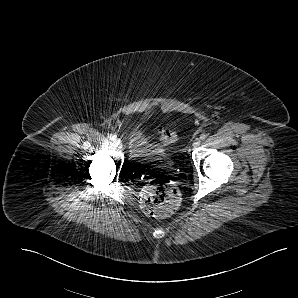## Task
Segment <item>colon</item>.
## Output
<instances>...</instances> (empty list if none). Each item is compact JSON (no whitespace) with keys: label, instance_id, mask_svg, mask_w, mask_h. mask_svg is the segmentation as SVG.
I'll list each match as a JSON object with an SVG mask.
<instances>
[{"label":"colon","instance_id":"1","mask_svg":"<svg viewBox=\"0 0 298 298\" xmlns=\"http://www.w3.org/2000/svg\"><path fill=\"white\" fill-rule=\"evenodd\" d=\"M164 141L172 143L177 139L176 132L164 129L161 132ZM180 193L174 183L167 178L150 181L141 191L140 203L146 214L154 217H166L179 207Z\"/></svg>","mask_w":298,"mask_h":298}]
</instances>
